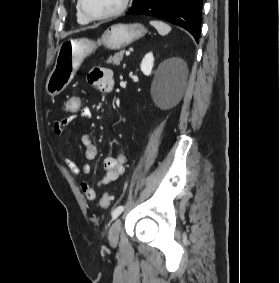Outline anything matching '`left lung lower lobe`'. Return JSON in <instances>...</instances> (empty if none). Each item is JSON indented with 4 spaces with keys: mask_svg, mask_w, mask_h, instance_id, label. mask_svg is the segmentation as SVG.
Listing matches in <instances>:
<instances>
[{
    "mask_svg": "<svg viewBox=\"0 0 280 283\" xmlns=\"http://www.w3.org/2000/svg\"><path fill=\"white\" fill-rule=\"evenodd\" d=\"M203 0H136L129 15H150L178 25L199 41Z\"/></svg>",
    "mask_w": 280,
    "mask_h": 283,
    "instance_id": "1",
    "label": "left lung lower lobe"
}]
</instances>
